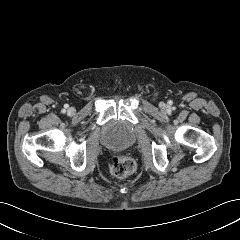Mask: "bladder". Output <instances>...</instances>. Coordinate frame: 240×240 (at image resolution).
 I'll return each mask as SVG.
<instances>
[{
	"instance_id": "obj_1",
	"label": "bladder",
	"mask_w": 240,
	"mask_h": 240,
	"mask_svg": "<svg viewBox=\"0 0 240 240\" xmlns=\"http://www.w3.org/2000/svg\"><path fill=\"white\" fill-rule=\"evenodd\" d=\"M132 128L120 120H113L103 127L102 144L108 149L122 150L135 142Z\"/></svg>"
}]
</instances>
